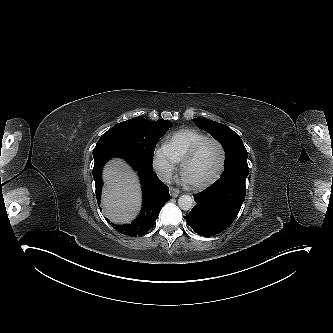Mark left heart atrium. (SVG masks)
<instances>
[{"instance_id": "left-heart-atrium-1", "label": "left heart atrium", "mask_w": 333, "mask_h": 333, "mask_svg": "<svg viewBox=\"0 0 333 333\" xmlns=\"http://www.w3.org/2000/svg\"><path fill=\"white\" fill-rule=\"evenodd\" d=\"M184 181L185 182H189V180L187 179L186 175H184Z\"/></svg>"}]
</instances>
